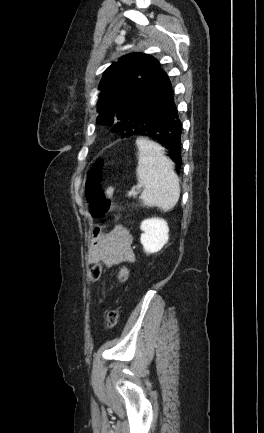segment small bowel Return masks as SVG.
<instances>
[{"label":"small bowel","mask_w":264,"mask_h":433,"mask_svg":"<svg viewBox=\"0 0 264 433\" xmlns=\"http://www.w3.org/2000/svg\"><path fill=\"white\" fill-rule=\"evenodd\" d=\"M132 236L123 225H116L109 232L94 230L88 251L90 264L104 263L108 267L125 262H133Z\"/></svg>","instance_id":"c3829d8e"}]
</instances>
